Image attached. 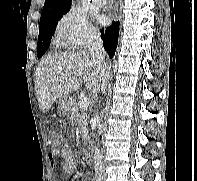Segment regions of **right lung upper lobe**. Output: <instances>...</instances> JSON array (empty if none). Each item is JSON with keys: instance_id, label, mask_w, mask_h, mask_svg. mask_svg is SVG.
Instances as JSON below:
<instances>
[{"instance_id": "right-lung-upper-lobe-1", "label": "right lung upper lobe", "mask_w": 197, "mask_h": 181, "mask_svg": "<svg viewBox=\"0 0 197 181\" xmlns=\"http://www.w3.org/2000/svg\"><path fill=\"white\" fill-rule=\"evenodd\" d=\"M71 7V0H45L41 17L67 12Z\"/></svg>"}]
</instances>
